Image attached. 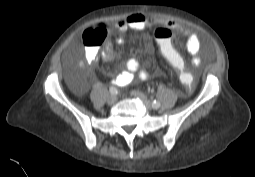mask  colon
<instances>
[{"instance_id": "5ec220e1", "label": "colon", "mask_w": 255, "mask_h": 177, "mask_svg": "<svg viewBox=\"0 0 255 177\" xmlns=\"http://www.w3.org/2000/svg\"><path fill=\"white\" fill-rule=\"evenodd\" d=\"M107 37L105 26L96 25L89 27L84 34V41L90 47H96L102 44ZM173 34L168 28H159L155 32V47L161 54L164 63L173 67L179 77L181 84L186 85L188 92L193 89L192 82L195 80V75L189 72V68L182 54L172 43Z\"/></svg>"}]
</instances>
